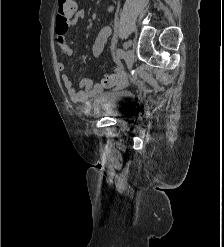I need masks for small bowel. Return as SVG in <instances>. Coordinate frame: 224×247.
<instances>
[{"label": "small bowel", "mask_w": 224, "mask_h": 247, "mask_svg": "<svg viewBox=\"0 0 224 247\" xmlns=\"http://www.w3.org/2000/svg\"><path fill=\"white\" fill-rule=\"evenodd\" d=\"M112 9L113 8L110 7L109 11H112ZM85 14L86 13L84 9H77L72 18L71 24H77L79 21L85 18ZM111 33V24H108L100 29L92 45V53L94 56L98 57L103 52L105 44L107 43V40ZM55 42L64 57H70L72 55L73 50L70 43L65 37V33L56 31ZM65 69V62H59L58 70L60 72H64ZM115 73H120V70L116 68ZM92 77V74H87L86 76H84L79 82V89H76L71 78L65 73L62 74L61 78L63 85L72 101L82 102L102 92L103 86L101 84L94 83Z\"/></svg>", "instance_id": "c3829d8e"}]
</instances>
